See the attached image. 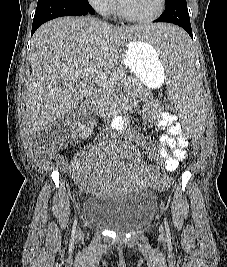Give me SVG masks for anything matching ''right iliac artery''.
I'll list each match as a JSON object with an SVG mask.
<instances>
[{"label":"right iliac artery","instance_id":"right-iliac-artery-1","mask_svg":"<svg viewBox=\"0 0 227 267\" xmlns=\"http://www.w3.org/2000/svg\"><path fill=\"white\" fill-rule=\"evenodd\" d=\"M76 226H77V218L75 217L74 224H73V229H72V237H74V235H75Z\"/></svg>","mask_w":227,"mask_h":267}]
</instances>
